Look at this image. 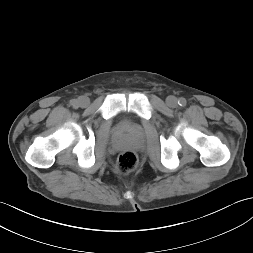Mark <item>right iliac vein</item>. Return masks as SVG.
I'll list each match as a JSON object with an SVG mask.
<instances>
[{
	"label": "right iliac vein",
	"instance_id": "obj_1",
	"mask_svg": "<svg viewBox=\"0 0 253 253\" xmlns=\"http://www.w3.org/2000/svg\"><path fill=\"white\" fill-rule=\"evenodd\" d=\"M89 103H90V100H89V98L86 97V96H82V97H80V98L78 99V105H79L80 107H87V106L89 105Z\"/></svg>",
	"mask_w": 253,
	"mask_h": 253
}]
</instances>
